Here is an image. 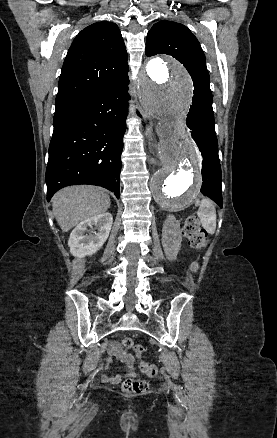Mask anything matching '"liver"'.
Segmentation results:
<instances>
[{
	"instance_id": "6515ba94",
	"label": "liver",
	"mask_w": 277,
	"mask_h": 438,
	"mask_svg": "<svg viewBox=\"0 0 277 438\" xmlns=\"http://www.w3.org/2000/svg\"><path fill=\"white\" fill-rule=\"evenodd\" d=\"M111 206L110 196L95 186H69L53 198L54 216L62 230L68 232L82 220L107 212Z\"/></svg>"
}]
</instances>
